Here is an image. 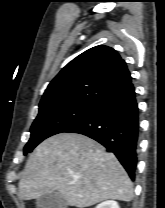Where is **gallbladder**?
Returning a JSON list of instances; mask_svg holds the SVG:
<instances>
[{
  "label": "gallbladder",
  "instance_id": "bac80fb5",
  "mask_svg": "<svg viewBox=\"0 0 165 208\" xmlns=\"http://www.w3.org/2000/svg\"><path fill=\"white\" fill-rule=\"evenodd\" d=\"M38 208H67L68 203L63 196L54 191L52 193H46L41 195L36 200Z\"/></svg>",
  "mask_w": 165,
  "mask_h": 208
}]
</instances>
